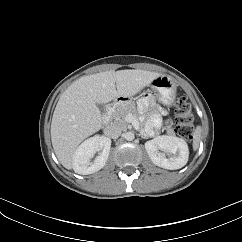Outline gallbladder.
I'll list each match as a JSON object with an SVG mask.
<instances>
[{"mask_svg": "<svg viewBox=\"0 0 242 242\" xmlns=\"http://www.w3.org/2000/svg\"><path fill=\"white\" fill-rule=\"evenodd\" d=\"M96 105L101 112H105L106 106L104 104L97 103Z\"/></svg>", "mask_w": 242, "mask_h": 242, "instance_id": "obj_1", "label": "gallbladder"}]
</instances>
